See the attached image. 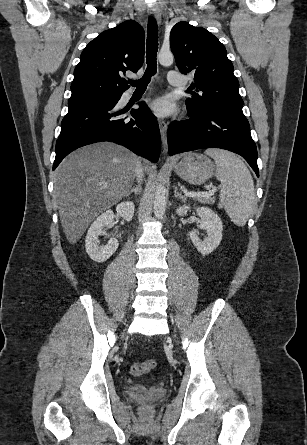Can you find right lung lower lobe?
<instances>
[{
  "mask_svg": "<svg viewBox=\"0 0 307 445\" xmlns=\"http://www.w3.org/2000/svg\"><path fill=\"white\" fill-rule=\"evenodd\" d=\"M121 95L106 96L68 105L56 142L53 170L73 150L100 141L123 145L152 162H157L161 138L157 120L144 103L132 112V119H119L125 110L116 104Z\"/></svg>",
  "mask_w": 307,
  "mask_h": 445,
  "instance_id": "98d812e1",
  "label": "right lung lower lobe"
}]
</instances>
